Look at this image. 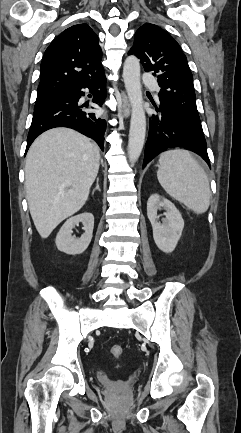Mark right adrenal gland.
Instances as JSON below:
<instances>
[{
    "instance_id": "obj_1",
    "label": "right adrenal gland",
    "mask_w": 241,
    "mask_h": 433,
    "mask_svg": "<svg viewBox=\"0 0 241 433\" xmlns=\"http://www.w3.org/2000/svg\"><path fill=\"white\" fill-rule=\"evenodd\" d=\"M96 190H98L99 192H101V189L99 187V178L96 179V187L93 189L92 195H94V193H95Z\"/></svg>"
}]
</instances>
